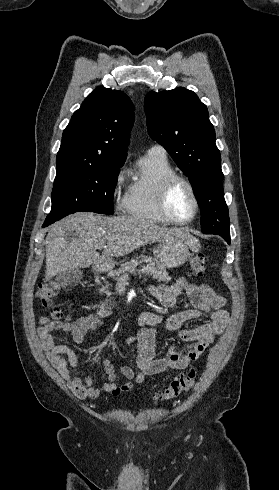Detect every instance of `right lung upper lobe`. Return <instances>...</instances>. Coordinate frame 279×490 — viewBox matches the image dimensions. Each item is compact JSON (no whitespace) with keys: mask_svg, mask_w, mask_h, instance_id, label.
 <instances>
[{"mask_svg":"<svg viewBox=\"0 0 279 490\" xmlns=\"http://www.w3.org/2000/svg\"><path fill=\"white\" fill-rule=\"evenodd\" d=\"M134 111L128 96L96 88L65 128L56 165L124 163Z\"/></svg>","mask_w":279,"mask_h":490,"instance_id":"cb5924a9","label":"right lung upper lobe"}]
</instances>
